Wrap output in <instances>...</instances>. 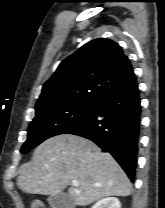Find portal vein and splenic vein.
<instances>
[{
    "label": "portal vein and splenic vein",
    "mask_w": 165,
    "mask_h": 208,
    "mask_svg": "<svg viewBox=\"0 0 165 208\" xmlns=\"http://www.w3.org/2000/svg\"><path fill=\"white\" fill-rule=\"evenodd\" d=\"M72 185L77 187L78 186V182L77 181H72Z\"/></svg>",
    "instance_id": "obj_1"
}]
</instances>
